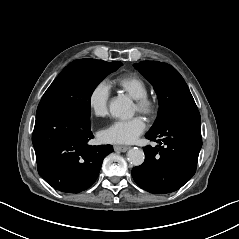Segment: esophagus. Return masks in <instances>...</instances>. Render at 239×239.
I'll return each instance as SVG.
<instances>
[{
	"instance_id": "1",
	"label": "esophagus",
	"mask_w": 239,
	"mask_h": 239,
	"mask_svg": "<svg viewBox=\"0 0 239 239\" xmlns=\"http://www.w3.org/2000/svg\"><path fill=\"white\" fill-rule=\"evenodd\" d=\"M113 148H114V151H116V152H126L128 150V147H126V146L115 145Z\"/></svg>"
}]
</instances>
